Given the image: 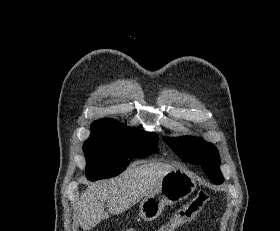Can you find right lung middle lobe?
Instances as JSON below:
<instances>
[{
  "instance_id": "right-lung-middle-lobe-1",
  "label": "right lung middle lobe",
  "mask_w": 280,
  "mask_h": 231,
  "mask_svg": "<svg viewBox=\"0 0 280 231\" xmlns=\"http://www.w3.org/2000/svg\"><path fill=\"white\" fill-rule=\"evenodd\" d=\"M90 137L84 142L86 176L90 181L122 173L132 157L145 158L158 153V135L118 123L94 121Z\"/></svg>"
}]
</instances>
